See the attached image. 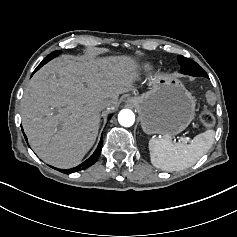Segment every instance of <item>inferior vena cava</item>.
Here are the masks:
<instances>
[{
	"instance_id": "1",
	"label": "inferior vena cava",
	"mask_w": 237,
	"mask_h": 237,
	"mask_svg": "<svg viewBox=\"0 0 237 237\" xmlns=\"http://www.w3.org/2000/svg\"><path fill=\"white\" fill-rule=\"evenodd\" d=\"M111 104V101L109 99H102L99 101V105L104 109L106 107H109Z\"/></svg>"
}]
</instances>
